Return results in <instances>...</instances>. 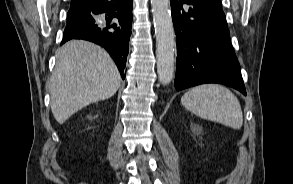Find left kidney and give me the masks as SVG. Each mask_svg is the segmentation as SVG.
Returning a JSON list of instances; mask_svg holds the SVG:
<instances>
[{
	"label": "left kidney",
	"mask_w": 293,
	"mask_h": 184,
	"mask_svg": "<svg viewBox=\"0 0 293 184\" xmlns=\"http://www.w3.org/2000/svg\"><path fill=\"white\" fill-rule=\"evenodd\" d=\"M191 130L195 134H200L202 132V127L199 125H192Z\"/></svg>",
	"instance_id": "1"
}]
</instances>
